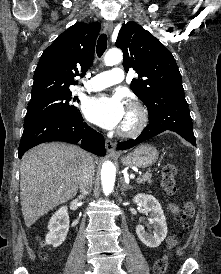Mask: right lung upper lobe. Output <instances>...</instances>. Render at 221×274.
<instances>
[{
  "mask_svg": "<svg viewBox=\"0 0 221 274\" xmlns=\"http://www.w3.org/2000/svg\"><path fill=\"white\" fill-rule=\"evenodd\" d=\"M98 22H77L43 52L34 72L32 99L71 93L74 77L84 76L93 62Z\"/></svg>",
  "mask_w": 221,
  "mask_h": 274,
  "instance_id": "cb5924a9",
  "label": "right lung upper lobe"
}]
</instances>
